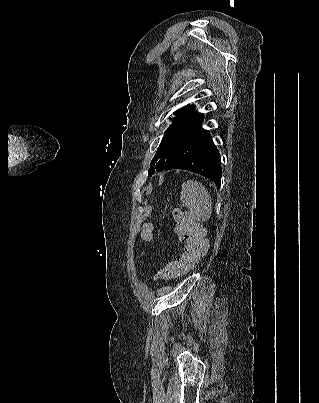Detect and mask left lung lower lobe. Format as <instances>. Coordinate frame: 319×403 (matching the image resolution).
<instances>
[{
	"label": "left lung lower lobe",
	"instance_id": "left-lung-lower-lobe-1",
	"mask_svg": "<svg viewBox=\"0 0 319 403\" xmlns=\"http://www.w3.org/2000/svg\"><path fill=\"white\" fill-rule=\"evenodd\" d=\"M203 118L201 116L193 125L164 170L192 171L206 176L220 187L222 175L220 154L209 131L201 127Z\"/></svg>",
	"mask_w": 319,
	"mask_h": 403
}]
</instances>
